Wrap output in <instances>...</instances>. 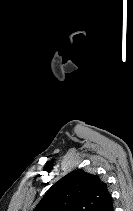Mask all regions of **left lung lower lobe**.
<instances>
[{"instance_id":"1","label":"left lung lower lobe","mask_w":133,"mask_h":211,"mask_svg":"<svg viewBox=\"0 0 133 211\" xmlns=\"http://www.w3.org/2000/svg\"><path fill=\"white\" fill-rule=\"evenodd\" d=\"M94 211H114L111 195L101 205H99Z\"/></svg>"}]
</instances>
